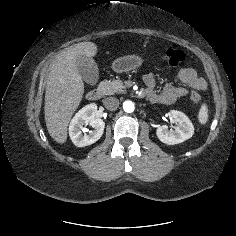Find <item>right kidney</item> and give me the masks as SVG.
Returning <instances> with one entry per match:
<instances>
[{"label": "right kidney", "instance_id": "right-kidney-1", "mask_svg": "<svg viewBox=\"0 0 236 236\" xmlns=\"http://www.w3.org/2000/svg\"><path fill=\"white\" fill-rule=\"evenodd\" d=\"M96 112L97 105L92 103L83 107L72 118L69 125V136L76 146H88L101 138L105 122L102 119L95 117ZM88 124L93 127V130L89 131L88 134H83L84 125Z\"/></svg>", "mask_w": 236, "mask_h": 236}]
</instances>
